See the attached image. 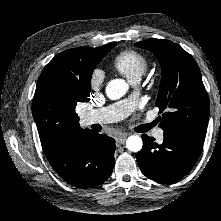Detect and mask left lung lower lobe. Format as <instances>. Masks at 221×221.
Here are the masks:
<instances>
[{"label": "left lung lower lobe", "mask_w": 221, "mask_h": 221, "mask_svg": "<svg viewBox=\"0 0 221 221\" xmlns=\"http://www.w3.org/2000/svg\"><path fill=\"white\" fill-rule=\"evenodd\" d=\"M142 139L143 148L136 153L137 163L146 177L160 183H171L188 174L203 148L202 143L166 131L160 144L146 134Z\"/></svg>", "instance_id": "1"}]
</instances>
